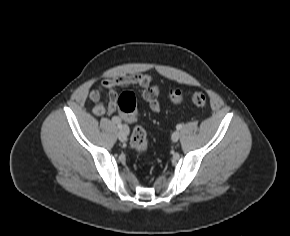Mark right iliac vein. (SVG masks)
Returning a JSON list of instances; mask_svg holds the SVG:
<instances>
[{"instance_id":"1","label":"right iliac vein","mask_w":290,"mask_h":236,"mask_svg":"<svg viewBox=\"0 0 290 236\" xmlns=\"http://www.w3.org/2000/svg\"><path fill=\"white\" fill-rule=\"evenodd\" d=\"M127 134H128V127L124 126L119 132H118V138L120 141L124 142L127 140Z\"/></svg>"}]
</instances>
